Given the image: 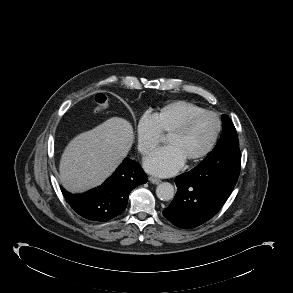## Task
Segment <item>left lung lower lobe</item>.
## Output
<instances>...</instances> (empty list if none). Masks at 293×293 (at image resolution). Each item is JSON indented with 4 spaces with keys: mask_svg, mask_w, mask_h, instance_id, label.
Instances as JSON below:
<instances>
[{
    "mask_svg": "<svg viewBox=\"0 0 293 293\" xmlns=\"http://www.w3.org/2000/svg\"><path fill=\"white\" fill-rule=\"evenodd\" d=\"M240 150L230 151L214 165H198L176 177L177 193L163 215L189 229L211 219L230 196L240 173Z\"/></svg>",
    "mask_w": 293,
    "mask_h": 293,
    "instance_id": "0a47b994",
    "label": "left lung lower lobe"
}]
</instances>
